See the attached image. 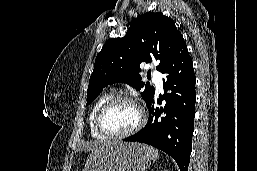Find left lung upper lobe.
Masks as SVG:
<instances>
[{
	"label": "left lung upper lobe",
	"mask_w": 257,
	"mask_h": 171,
	"mask_svg": "<svg viewBox=\"0 0 257 171\" xmlns=\"http://www.w3.org/2000/svg\"><path fill=\"white\" fill-rule=\"evenodd\" d=\"M182 34L174 22L161 13L147 12L134 19L126 35L105 43L95 60L87 90V105L104 87L112 83H127L137 90L148 103L155 89L141 81L142 62L156 61L161 71L170 55L185 47Z\"/></svg>",
	"instance_id": "5c2ea615"
}]
</instances>
